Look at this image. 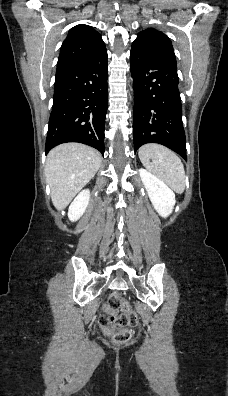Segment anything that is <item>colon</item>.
Returning a JSON list of instances; mask_svg holds the SVG:
<instances>
[{
    "instance_id": "5ec220e1",
    "label": "colon",
    "mask_w": 228,
    "mask_h": 396,
    "mask_svg": "<svg viewBox=\"0 0 228 396\" xmlns=\"http://www.w3.org/2000/svg\"><path fill=\"white\" fill-rule=\"evenodd\" d=\"M112 310H121L119 315L102 314L99 319L101 328L112 335V340L117 344L127 342L132 335V329L139 324L136 313L129 307L124 295L115 291L109 298Z\"/></svg>"
}]
</instances>
